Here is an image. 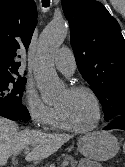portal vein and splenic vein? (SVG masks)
I'll use <instances>...</instances> for the list:
<instances>
[{
  "label": "portal vein and splenic vein",
  "mask_w": 125,
  "mask_h": 167,
  "mask_svg": "<svg viewBox=\"0 0 125 167\" xmlns=\"http://www.w3.org/2000/svg\"><path fill=\"white\" fill-rule=\"evenodd\" d=\"M29 151H30V148H29V147L25 148L24 154H28ZM68 164H69L68 161H64V162L61 164V167H66Z\"/></svg>",
  "instance_id": "1"
}]
</instances>
